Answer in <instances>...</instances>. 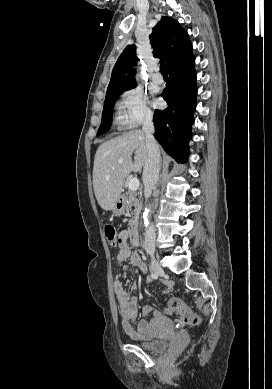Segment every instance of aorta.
Returning <instances> with one entry per match:
<instances>
[{
    "label": "aorta",
    "instance_id": "1",
    "mask_svg": "<svg viewBox=\"0 0 272 389\" xmlns=\"http://www.w3.org/2000/svg\"><path fill=\"white\" fill-rule=\"evenodd\" d=\"M150 216H151V206H148L144 209L143 212V220H144L145 227H147L149 224Z\"/></svg>",
    "mask_w": 272,
    "mask_h": 389
}]
</instances>
